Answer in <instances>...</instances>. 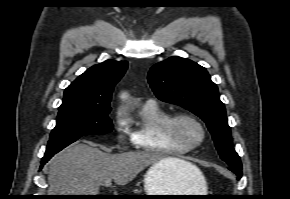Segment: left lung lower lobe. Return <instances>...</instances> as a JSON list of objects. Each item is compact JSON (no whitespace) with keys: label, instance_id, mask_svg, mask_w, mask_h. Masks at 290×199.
Here are the masks:
<instances>
[{"label":"left lung lower lobe","instance_id":"obj_1","mask_svg":"<svg viewBox=\"0 0 290 199\" xmlns=\"http://www.w3.org/2000/svg\"><path fill=\"white\" fill-rule=\"evenodd\" d=\"M229 170H231L232 172H234L238 176V179L241 178V176H242V166L241 167H238V166H229Z\"/></svg>","mask_w":290,"mask_h":199}]
</instances>
